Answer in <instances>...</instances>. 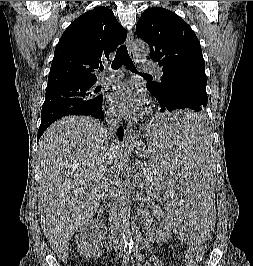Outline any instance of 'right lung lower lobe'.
Returning <instances> with one entry per match:
<instances>
[{"instance_id": "obj_1", "label": "right lung lower lobe", "mask_w": 253, "mask_h": 266, "mask_svg": "<svg viewBox=\"0 0 253 266\" xmlns=\"http://www.w3.org/2000/svg\"><path fill=\"white\" fill-rule=\"evenodd\" d=\"M82 115H90V116H93L95 118H98V119H104V113H103V110H102V105L94 110V111H89L85 114H82ZM49 125H44V126H40L39 127V130H38V136H37V140L40 139V137L42 136L43 132L46 130V128L48 127ZM117 136L119 137L120 140L123 139V135H124V129L122 127H119L117 129Z\"/></svg>"}]
</instances>
